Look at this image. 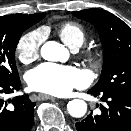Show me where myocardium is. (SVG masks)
<instances>
[{"mask_svg":"<svg viewBox=\"0 0 131 131\" xmlns=\"http://www.w3.org/2000/svg\"><path fill=\"white\" fill-rule=\"evenodd\" d=\"M85 58L92 66H98L100 64V56L94 51L87 52Z\"/></svg>","mask_w":131,"mask_h":131,"instance_id":"myocardium-1","label":"myocardium"}]
</instances>
